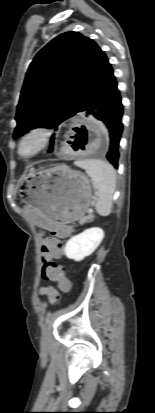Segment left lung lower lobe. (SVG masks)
Wrapping results in <instances>:
<instances>
[{
	"instance_id": "0a47b994",
	"label": "left lung lower lobe",
	"mask_w": 155,
	"mask_h": 413,
	"mask_svg": "<svg viewBox=\"0 0 155 413\" xmlns=\"http://www.w3.org/2000/svg\"><path fill=\"white\" fill-rule=\"evenodd\" d=\"M79 112L100 120L109 130L107 159L118 168L119 141L122 134L123 105L112 67L107 59L92 88L83 99ZM82 133V132H79Z\"/></svg>"
}]
</instances>
